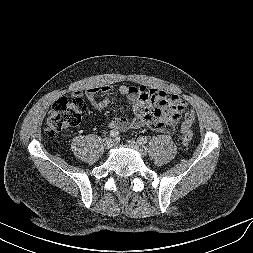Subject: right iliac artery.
Segmentation results:
<instances>
[{"instance_id": "obj_1", "label": "right iliac artery", "mask_w": 253, "mask_h": 253, "mask_svg": "<svg viewBox=\"0 0 253 253\" xmlns=\"http://www.w3.org/2000/svg\"><path fill=\"white\" fill-rule=\"evenodd\" d=\"M118 135H119V131H117V130H111L110 131V136L117 137Z\"/></svg>"}]
</instances>
